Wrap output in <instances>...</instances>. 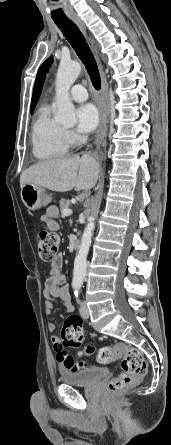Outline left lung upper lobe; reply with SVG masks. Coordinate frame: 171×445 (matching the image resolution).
Segmentation results:
<instances>
[{
	"label": "left lung upper lobe",
	"instance_id": "obj_1",
	"mask_svg": "<svg viewBox=\"0 0 171 445\" xmlns=\"http://www.w3.org/2000/svg\"><path fill=\"white\" fill-rule=\"evenodd\" d=\"M53 62V58L50 57L48 58L39 68L38 73H37V77L35 80V85H34V91H33V96H32V102H31V113L34 111V108L38 102V99L40 97L41 91H42V87L44 84V80H45V76L43 75V73H46L49 69V67L51 66Z\"/></svg>",
	"mask_w": 171,
	"mask_h": 445
}]
</instances>
